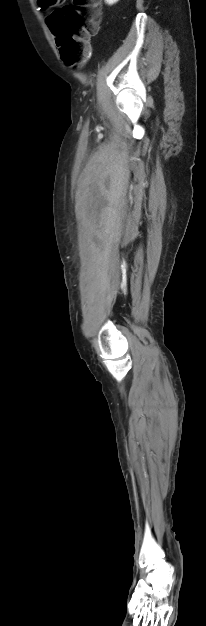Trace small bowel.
<instances>
[{"instance_id":"small-bowel-1","label":"small bowel","mask_w":206,"mask_h":626,"mask_svg":"<svg viewBox=\"0 0 206 626\" xmlns=\"http://www.w3.org/2000/svg\"><path fill=\"white\" fill-rule=\"evenodd\" d=\"M47 23H48V25H49V20H47Z\"/></svg>"}]
</instances>
